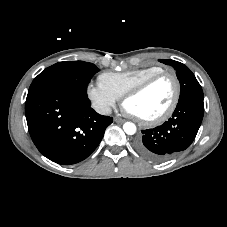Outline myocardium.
<instances>
[{"mask_svg":"<svg viewBox=\"0 0 227 227\" xmlns=\"http://www.w3.org/2000/svg\"><path fill=\"white\" fill-rule=\"evenodd\" d=\"M165 76H169L173 80V83H174V95H173L172 101H171L170 105L167 107V109L156 117H153L150 119H144V118H140V117L136 116V118L144 125L154 126V125L161 124L164 121H166L168 118H170V116L174 113V111L176 110V108L178 106L180 96H181V85H180L178 76L172 71L163 70L161 72H158V73L146 78L145 80H143L136 86L129 89L123 95L122 103H123V105H125V103L128 99L143 93L153 83H155L157 80H159Z\"/></svg>","mask_w":227,"mask_h":227,"instance_id":"1","label":"myocardium"}]
</instances>
